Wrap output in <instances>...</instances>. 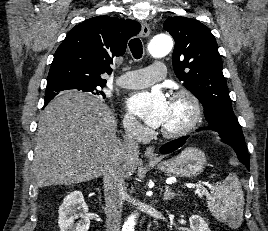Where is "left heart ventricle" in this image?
Returning a JSON list of instances; mask_svg holds the SVG:
<instances>
[{
    "mask_svg": "<svg viewBox=\"0 0 268 231\" xmlns=\"http://www.w3.org/2000/svg\"><path fill=\"white\" fill-rule=\"evenodd\" d=\"M190 116V106L186 101L181 99L170 100L161 128L165 130L179 129L189 120Z\"/></svg>",
    "mask_w": 268,
    "mask_h": 231,
    "instance_id": "b2bd125f",
    "label": "left heart ventricle"
}]
</instances>
